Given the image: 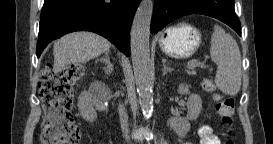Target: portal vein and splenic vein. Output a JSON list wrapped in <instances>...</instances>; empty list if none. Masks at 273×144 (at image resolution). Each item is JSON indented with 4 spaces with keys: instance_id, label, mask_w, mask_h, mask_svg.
<instances>
[{
    "instance_id": "18ae733b",
    "label": "portal vein and splenic vein",
    "mask_w": 273,
    "mask_h": 144,
    "mask_svg": "<svg viewBox=\"0 0 273 144\" xmlns=\"http://www.w3.org/2000/svg\"><path fill=\"white\" fill-rule=\"evenodd\" d=\"M197 66L204 67L205 65L204 63H199V62H192L188 64L189 69H194Z\"/></svg>"
}]
</instances>
